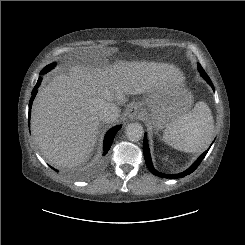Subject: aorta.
Instances as JSON below:
<instances>
[{
  "instance_id": "aorta-1",
  "label": "aorta",
  "mask_w": 245,
  "mask_h": 245,
  "mask_svg": "<svg viewBox=\"0 0 245 245\" xmlns=\"http://www.w3.org/2000/svg\"><path fill=\"white\" fill-rule=\"evenodd\" d=\"M125 134L130 141H138L143 137L144 130L139 123H130L125 128Z\"/></svg>"
}]
</instances>
